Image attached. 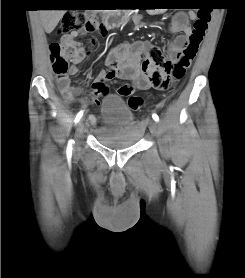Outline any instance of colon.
<instances>
[{"mask_svg":"<svg viewBox=\"0 0 245 278\" xmlns=\"http://www.w3.org/2000/svg\"><path fill=\"white\" fill-rule=\"evenodd\" d=\"M195 9L196 17L188 45L182 56L176 62L166 65L167 76L163 79V85L166 87L172 86L176 80H180L186 74L197 55L199 44L207 31L211 19L208 7L201 6L195 7ZM99 25V22L95 18H85L82 14L69 12L63 16L59 26V32L62 34H69L81 31L84 28L94 30ZM49 48L53 57L54 72L60 78L65 76L69 61L84 56V52L79 48L70 44H65L61 40L51 41ZM157 64L159 66L164 65L161 60H159ZM154 79L156 81L161 80V74L159 71L154 73ZM118 94L127 98V103L133 111L140 110L144 105L143 98L133 94V89L129 84L120 86Z\"/></svg>","mask_w":245,"mask_h":278,"instance_id":"colon-1","label":"colon"}]
</instances>
